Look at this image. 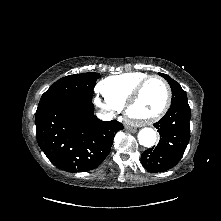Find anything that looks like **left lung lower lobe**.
<instances>
[{"instance_id": "0a47b994", "label": "left lung lower lobe", "mask_w": 221, "mask_h": 221, "mask_svg": "<svg viewBox=\"0 0 221 221\" xmlns=\"http://www.w3.org/2000/svg\"><path fill=\"white\" fill-rule=\"evenodd\" d=\"M190 117L188 102L177 103L154 124L160 140L156 147L147 149L141 156V163L147 171L163 172L180 161L190 139Z\"/></svg>"}]
</instances>
